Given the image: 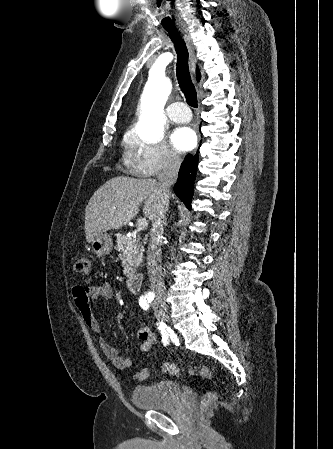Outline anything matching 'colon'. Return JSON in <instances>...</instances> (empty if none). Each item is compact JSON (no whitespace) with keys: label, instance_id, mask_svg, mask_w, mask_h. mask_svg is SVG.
<instances>
[{"label":"colon","instance_id":"obj_1","mask_svg":"<svg viewBox=\"0 0 333 449\" xmlns=\"http://www.w3.org/2000/svg\"><path fill=\"white\" fill-rule=\"evenodd\" d=\"M91 267V256L88 253L82 254L76 264L75 270L79 273H88ZM162 372L169 375H178L180 373V368L174 363L165 362L161 364L159 368ZM189 374L192 376H201L205 379H211L213 377L212 371L206 366H192L189 369ZM149 375V370L147 368L140 369L136 376L139 380L146 379ZM216 399V393L214 391H208L202 397V406H210Z\"/></svg>","mask_w":333,"mask_h":449}]
</instances>
